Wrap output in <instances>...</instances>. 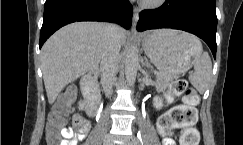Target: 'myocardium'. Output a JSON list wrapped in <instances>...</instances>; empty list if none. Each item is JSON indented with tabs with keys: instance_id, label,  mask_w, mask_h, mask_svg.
<instances>
[{
	"instance_id": "myocardium-1",
	"label": "myocardium",
	"mask_w": 243,
	"mask_h": 145,
	"mask_svg": "<svg viewBox=\"0 0 243 145\" xmlns=\"http://www.w3.org/2000/svg\"><path fill=\"white\" fill-rule=\"evenodd\" d=\"M167 0H141V6L145 9H158L166 4Z\"/></svg>"
}]
</instances>
